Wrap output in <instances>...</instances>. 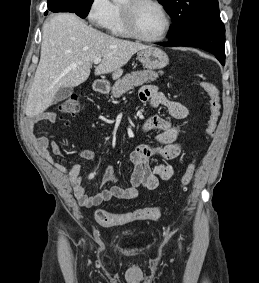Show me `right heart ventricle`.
Here are the masks:
<instances>
[{"mask_svg": "<svg viewBox=\"0 0 259 283\" xmlns=\"http://www.w3.org/2000/svg\"><path fill=\"white\" fill-rule=\"evenodd\" d=\"M105 27L113 35H116L119 37H129L130 36L124 24L120 4L118 3L113 4V10H112L111 17L108 20Z\"/></svg>", "mask_w": 259, "mask_h": 283, "instance_id": "1", "label": "right heart ventricle"}]
</instances>
